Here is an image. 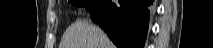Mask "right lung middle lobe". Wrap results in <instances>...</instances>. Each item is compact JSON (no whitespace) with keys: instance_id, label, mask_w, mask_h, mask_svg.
<instances>
[{"instance_id":"dd1d6c3e","label":"right lung middle lobe","mask_w":213,"mask_h":48,"mask_svg":"<svg viewBox=\"0 0 213 48\" xmlns=\"http://www.w3.org/2000/svg\"><path fill=\"white\" fill-rule=\"evenodd\" d=\"M98 0H69V2L73 5L76 6H85L89 11L93 7V5L97 2Z\"/></svg>"}]
</instances>
